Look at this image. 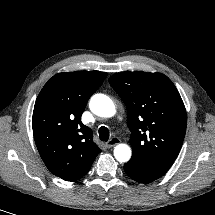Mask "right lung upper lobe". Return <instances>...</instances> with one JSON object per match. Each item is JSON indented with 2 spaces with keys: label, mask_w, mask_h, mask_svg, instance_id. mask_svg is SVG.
Wrapping results in <instances>:
<instances>
[{
  "label": "right lung upper lobe",
  "mask_w": 215,
  "mask_h": 215,
  "mask_svg": "<svg viewBox=\"0 0 215 215\" xmlns=\"http://www.w3.org/2000/svg\"><path fill=\"white\" fill-rule=\"evenodd\" d=\"M106 76L100 71L58 73L36 99L32 127L37 149L47 168L66 181L82 178L101 152L81 115Z\"/></svg>",
  "instance_id": "obj_1"
}]
</instances>
